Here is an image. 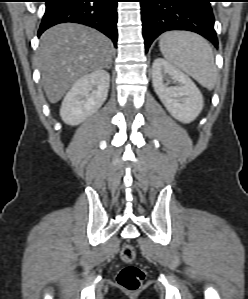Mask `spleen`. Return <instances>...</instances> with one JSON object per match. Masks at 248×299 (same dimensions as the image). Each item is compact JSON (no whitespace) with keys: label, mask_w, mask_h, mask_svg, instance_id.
Returning <instances> with one entry per match:
<instances>
[{"label":"spleen","mask_w":248,"mask_h":299,"mask_svg":"<svg viewBox=\"0 0 248 299\" xmlns=\"http://www.w3.org/2000/svg\"><path fill=\"white\" fill-rule=\"evenodd\" d=\"M164 58L199 84L212 90L217 79L214 55L209 42L196 33L169 31L159 41Z\"/></svg>","instance_id":"1"}]
</instances>
